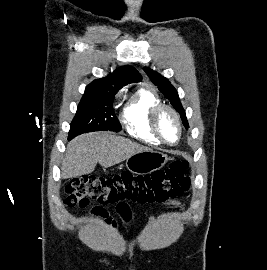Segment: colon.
Here are the masks:
<instances>
[{"instance_id": "5ec220e1", "label": "colon", "mask_w": 267, "mask_h": 270, "mask_svg": "<svg viewBox=\"0 0 267 270\" xmlns=\"http://www.w3.org/2000/svg\"><path fill=\"white\" fill-rule=\"evenodd\" d=\"M187 167V161L182 160L145 175L123 172L111 177L83 176L67 185L64 204L69 208H85L90 200L100 204L166 202L189 189Z\"/></svg>"}]
</instances>
